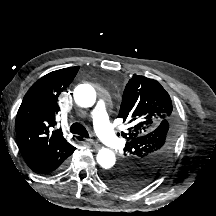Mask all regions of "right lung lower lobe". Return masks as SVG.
Wrapping results in <instances>:
<instances>
[{"instance_id":"98d812e1","label":"right lung lower lobe","mask_w":216,"mask_h":216,"mask_svg":"<svg viewBox=\"0 0 216 216\" xmlns=\"http://www.w3.org/2000/svg\"><path fill=\"white\" fill-rule=\"evenodd\" d=\"M66 158H62V159L50 164L49 166H47V167L43 168L42 170L38 171L37 173H39V174H48V173H51V172L55 171L56 169L61 167V165L63 164V162L65 161Z\"/></svg>"}]
</instances>
